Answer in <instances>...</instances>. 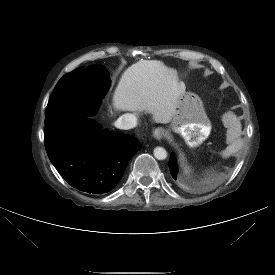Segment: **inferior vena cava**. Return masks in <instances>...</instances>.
<instances>
[{"label":"inferior vena cava","instance_id":"obj_1","mask_svg":"<svg viewBox=\"0 0 275 275\" xmlns=\"http://www.w3.org/2000/svg\"><path fill=\"white\" fill-rule=\"evenodd\" d=\"M137 117L135 114L126 113L120 116L115 121V126L119 129L128 130L132 129L137 125Z\"/></svg>","mask_w":275,"mask_h":275}]
</instances>
